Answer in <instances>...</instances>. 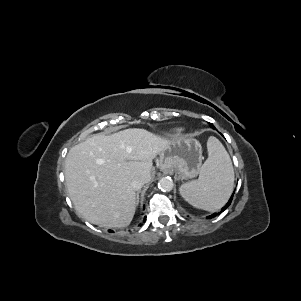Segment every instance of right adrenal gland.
I'll list each match as a JSON object with an SVG mask.
<instances>
[{
	"mask_svg": "<svg viewBox=\"0 0 301 301\" xmlns=\"http://www.w3.org/2000/svg\"><path fill=\"white\" fill-rule=\"evenodd\" d=\"M139 193H140V191H138L137 194H136V206H137L138 203H139Z\"/></svg>",
	"mask_w": 301,
	"mask_h": 301,
	"instance_id": "obj_1",
	"label": "right adrenal gland"
}]
</instances>
